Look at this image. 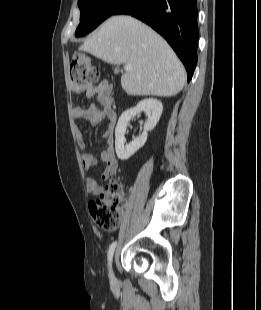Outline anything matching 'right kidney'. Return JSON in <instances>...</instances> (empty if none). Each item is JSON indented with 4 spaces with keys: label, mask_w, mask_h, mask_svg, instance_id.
Masks as SVG:
<instances>
[{
    "label": "right kidney",
    "mask_w": 261,
    "mask_h": 310,
    "mask_svg": "<svg viewBox=\"0 0 261 310\" xmlns=\"http://www.w3.org/2000/svg\"><path fill=\"white\" fill-rule=\"evenodd\" d=\"M162 111V103L157 99L149 98L140 101L135 107L130 108L121 114L115 129V150L117 157L120 160L129 159L138 149L144 146L147 141L148 132L155 128L161 117ZM141 112H145L147 116L144 131L139 138L134 139L129 144H125L127 124L131 118Z\"/></svg>",
    "instance_id": "right-kidney-1"
}]
</instances>
